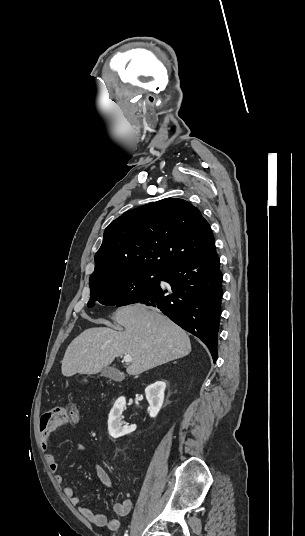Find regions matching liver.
<instances>
[{
    "mask_svg": "<svg viewBox=\"0 0 305 536\" xmlns=\"http://www.w3.org/2000/svg\"><path fill=\"white\" fill-rule=\"evenodd\" d=\"M114 320L125 328V332H115L111 328H89L69 344L62 360L63 376L98 374L104 366H109L123 354L133 358L127 374L138 376L171 360L184 358L191 352L186 332L155 308L142 304L118 308ZM92 322L106 326L110 324L102 318Z\"/></svg>",
    "mask_w": 305,
    "mask_h": 536,
    "instance_id": "6515ba94",
    "label": "liver"
}]
</instances>
